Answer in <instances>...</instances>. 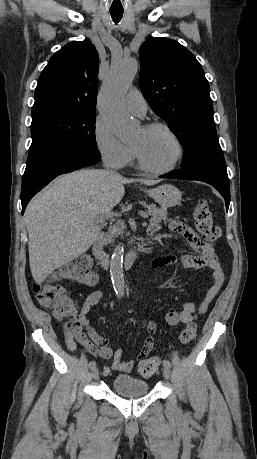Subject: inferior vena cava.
<instances>
[{
	"instance_id": "602c4592",
	"label": "inferior vena cava",
	"mask_w": 257,
	"mask_h": 459,
	"mask_svg": "<svg viewBox=\"0 0 257 459\" xmlns=\"http://www.w3.org/2000/svg\"><path fill=\"white\" fill-rule=\"evenodd\" d=\"M108 173H111L112 175H118L117 172L113 171V170H107Z\"/></svg>"
}]
</instances>
